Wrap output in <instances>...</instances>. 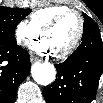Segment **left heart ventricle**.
Returning <instances> with one entry per match:
<instances>
[{
  "instance_id": "left-heart-ventricle-1",
  "label": "left heart ventricle",
  "mask_w": 103,
  "mask_h": 103,
  "mask_svg": "<svg viewBox=\"0 0 103 103\" xmlns=\"http://www.w3.org/2000/svg\"><path fill=\"white\" fill-rule=\"evenodd\" d=\"M79 20L75 15H71L63 20L56 28L47 32L44 38H47L51 44L54 53L67 48L78 32Z\"/></svg>"
}]
</instances>
